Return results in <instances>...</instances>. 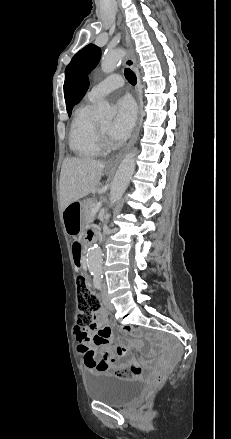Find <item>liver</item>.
Masks as SVG:
<instances>
[{
  "mask_svg": "<svg viewBox=\"0 0 231 439\" xmlns=\"http://www.w3.org/2000/svg\"><path fill=\"white\" fill-rule=\"evenodd\" d=\"M105 163L90 158L67 157L60 173V204L62 210L94 192L100 183Z\"/></svg>",
  "mask_w": 231,
  "mask_h": 439,
  "instance_id": "obj_1",
  "label": "liver"
}]
</instances>
